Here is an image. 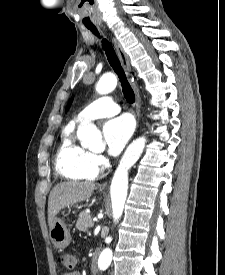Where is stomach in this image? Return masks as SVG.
Here are the masks:
<instances>
[{
    "mask_svg": "<svg viewBox=\"0 0 225 275\" xmlns=\"http://www.w3.org/2000/svg\"><path fill=\"white\" fill-rule=\"evenodd\" d=\"M49 236L56 248H66L71 241L69 227L60 218H54L49 226Z\"/></svg>",
    "mask_w": 225,
    "mask_h": 275,
    "instance_id": "0dacf381",
    "label": "stomach"
}]
</instances>
